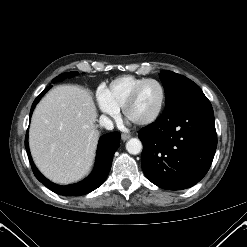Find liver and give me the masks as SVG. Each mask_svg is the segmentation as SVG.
<instances>
[{
    "instance_id": "obj_1",
    "label": "liver",
    "mask_w": 247,
    "mask_h": 247,
    "mask_svg": "<svg viewBox=\"0 0 247 247\" xmlns=\"http://www.w3.org/2000/svg\"><path fill=\"white\" fill-rule=\"evenodd\" d=\"M96 119L90 92L79 86H58L40 101L32 116L29 145L47 178L69 184L88 173L99 137Z\"/></svg>"
}]
</instances>
